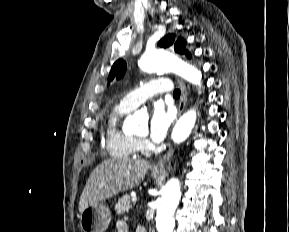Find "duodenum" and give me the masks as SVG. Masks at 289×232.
Instances as JSON below:
<instances>
[{
  "mask_svg": "<svg viewBox=\"0 0 289 232\" xmlns=\"http://www.w3.org/2000/svg\"><path fill=\"white\" fill-rule=\"evenodd\" d=\"M136 232H147L146 229L144 227H138L136 229Z\"/></svg>",
  "mask_w": 289,
  "mask_h": 232,
  "instance_id": "1",
  "label": "duodenum"
}]
</instances>
